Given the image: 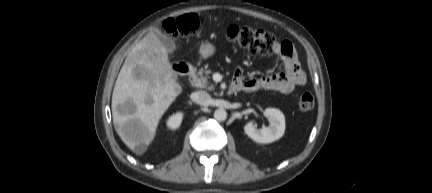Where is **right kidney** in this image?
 Instances as JSON below:
<instances>
[{"mask_svg": "<svg viewBox=\"0 0 432 193\" xmlns=\"http://www.w3.org/2000/svg\"><path fill=\"white\" fill-rule=\"evenodd\" d=\"M182 118H183V114L182 113H176V114L172 115L167 120V126L170 129H176V128H178L180 126L181 122H182Z\"/></svg>", "mask_w": 432, "mask_h": 193, "instance_id": "obj_1", "label": "right kidney"}]
</instances>
